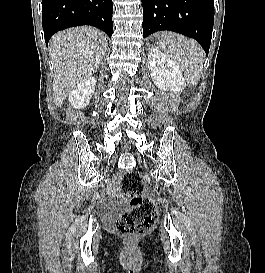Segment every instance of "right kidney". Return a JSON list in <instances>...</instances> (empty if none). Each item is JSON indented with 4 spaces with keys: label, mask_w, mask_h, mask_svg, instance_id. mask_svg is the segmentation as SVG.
<instances>
[{
    "label": "right kidney",
    "mask_w": 265,
    "mask_h": 273,
    "mask_svg": "<svg viewBox=\"0 0 265 273\" xmlns=\"http://www.w3.org/2000/svg\"><path fill=\"white\" fill-rule=\"evenodd\" d=\"M96 79L88 77L78 83L70 92L68 101L75 109L85 108L95 91Z\"/></svg>",
    "instance_id": "1"
}]
</instances>
